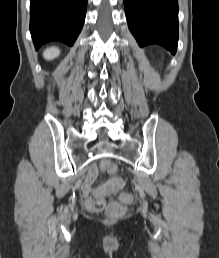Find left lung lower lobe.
Wrapping results in <instances>:
<instances>
[{
  "label": "left lung lower lobe",
  "mask_w": 219,
  "mask_h": 258,
  "mask_svg": "<svg viewBox=\"0 0 219 258\" xmlns=\"http://www.w3.org/2000/svg\"><path fill=\"white\" fill-rule=\"evenodd\" d=\"M128 26L140 47L158 44L175 54L178 0H124Z\"/></svg>",
  "instance_id": "0a47b994"
}]
</instances>
